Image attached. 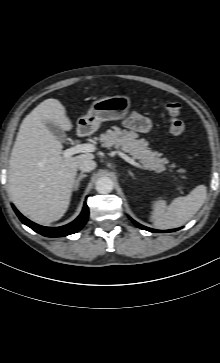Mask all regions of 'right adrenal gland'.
I'll return each mask as SVG.
<instances>
[{"instance_id": "obj_1", "label": "right adrenal gland", "mask_w": 220, "mask_h": 363, "mask_svg": "<svg viewBox=\"0 0 220 363\" xmlns=\"http://www.w3.org/2000/svg\"><path fill=\"white\" fill-rule=\"evenodd\" d=\"M87 177L86 174H80L77 179L74 182V190H78L79 186H80V182L83 178Z\"/></svg>"}]
</instances>
